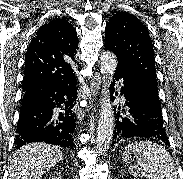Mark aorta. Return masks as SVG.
<instances>
[{"mask_svg": "<svg viewBox=\"0 0 183 179\" xmlns=\"http://www.w3.org/2000/svg\"><path fill=\"white\" fill-rule=\"evenodd\" d=\"M117 63V58L113 52H103L100 57L101 74L105 77L112 76L115 73ZM100 105L96 144L97 150L102 154L108 149L114 130V114L108 89L105 91Z\"/></svg>", "mask_w": 183, "mask_h": 179, "instance_id": "aorta-1", "label": "aorta"}]
</instances>
